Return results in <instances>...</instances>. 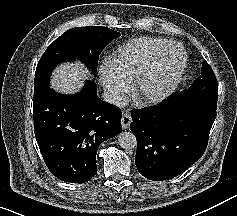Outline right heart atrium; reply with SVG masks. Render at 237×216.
I'll use <instances>...</instances> for the list:
<instances>
[{"label": "right heart atrium", "instance_id": "obj_1", "mask_svg": "<svg viewBox=\"0 0 237 216\" xmlns=\"http://www.w3.org/2000/svg\"><path fill=\"white\" fill-rule=\"evenodd\" d=\"M99 78L105 90L113 100L120 101L128 95L129 88L126 83L114 77L105 63L101 64L99 67Z\"/></svg>", "mask_w": 237, "mask_h": 216}]
</instances>
